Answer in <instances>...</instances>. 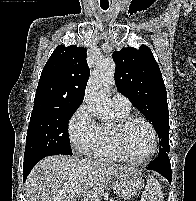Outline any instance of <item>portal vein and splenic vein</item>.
Wrapping results in <instances>:
<instances>
[{
  "instance_id": "obj_1",
  "label": "portal vein and splenic vein",
  "mask_w": 196,
  "mask_h": 201,
  "mask_svg": "<svg viewBox=\"0 0 196 201\" xmlns=\"http://www.w3.org/2000/svg\"><path fill=\"white\" fill-rule=\"evenodd\" d=\"M82 193V191L81 190H79L78 192H77V195H79V194H81Z\"/></svg>"
}]
</instances>
